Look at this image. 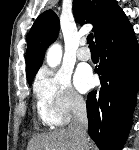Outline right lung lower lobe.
<instances>
[{
  "label": "right lung lower lobe",
  "mask_w": 139,
  "mask_h": 150,
  "mask_svg": "<svg viewBox=\"0 0 139 150\" xmlns=\"http://www.w3.org/2000/svg\"><path fill=\"white\" fill-rule=\"evenodd\" d=\"M101 88L87 96L88 133L101 150H120L132 125L139 89V46L121 11L96 42Z\"/></svg>",
  "instance_id": "98d812e1"
}]
</instances>
